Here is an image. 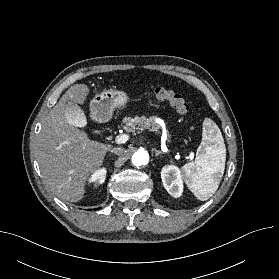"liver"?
I'll list each match as a JSON object with an SVG mask.
<instances>
[{
  "mask_svg": "<svg viewBox=\"0 0 279 279\" xmlns=\"http://www.w3.org/2000/svg\"><path fill=\"white\" fill-rule=\"evenodd\" d=\"M89 92L85 84L71 86L45 118L36 141V156L44 184L58 198L70 202L84 197L87 180L102 166L111 148L90 140L67 118L66 104H84Z\"/></svg>",
  "mask_w": 279,
  "mask_h": 279,
  "instance_id": "obj_1",
  "label": "liver"
}]
</instances>
